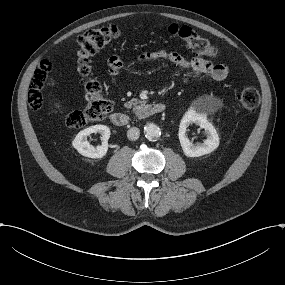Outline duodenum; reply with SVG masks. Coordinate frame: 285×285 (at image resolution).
Instances as JSON below:
<instances>
[{"label":"duodenum","instance_id":"410a0bca","mask_svg":"<svg viewBox=\"0 0 285 285\" xmlns=\"http://www.w3.org/2000/svg\"><path fill=\"white\" fill-rule=\"evenodd\" d=\"M167 109L168 105L166 103H146L138 110L137 117L143 119L151 115L165 112ZM110 120L117 127H126L129 124L128 116L123 112H112L110 114Z\"/></svg>","mask_w":285,"mask_h":285}]
</instances>
